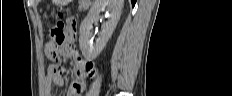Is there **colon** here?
<instances>
[{"instance_id":"obj_1","label":"colon","mask_w":232,"mask_h":96,"mask_svg":"<svg viewBox=\"0 0 232 96\" xmlns=\"http://www.w3.org/2000/svg\"><path fill=\"white\" fill-rule=\"evenodd\" d=\"M65 10L60 9L58 19L52 24L49 30V39L51 47L46 50V54L51 59H59L60 57H70L71 54H78L75 46L69 47L66 45L68 41L67 20H65ZM90 63V62H84ZM94 72V68H80L77 70V78L80 85L83 87V79Z\"/></svg>"}]
</instances>
